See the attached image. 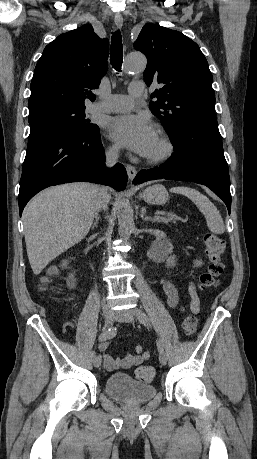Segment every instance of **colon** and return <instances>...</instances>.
<instances>
[{
    "label": "colon",
    "mask_w": 257,
    "mask_h": 459,
    "mask_svg": "<svg viewBox=\"0 0 257 459\" xmlns=\"http://www.w3.org/2000/svg\"><path fill=\"white\" fill-rule=\"evenodd\" d=\"M205 249L209 259V264L203 270L198 279V288L205 290L212 286L215 280L223 273L222 254L225 249L224 240L216 234L207 233L204 237ZM57 274V270H53L48 276L42 278V286L46 287L51 277ZM198 328L197 317L190 313L185 316L182 322V329L188 336L193 335ZM155 369L150 366H142L136 370V375L140 380L151 381L155 377Z\"/></svg>",
    "instance_id": "colon-1"
}]
</instances>
